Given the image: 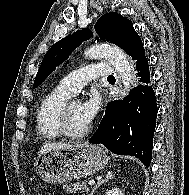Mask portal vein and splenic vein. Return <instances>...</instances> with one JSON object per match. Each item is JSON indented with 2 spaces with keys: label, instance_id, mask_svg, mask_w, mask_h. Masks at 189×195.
<instances>
[{
  "label": "portal vein and splenic vein",
  "instance_id": "1",
  "mask_svg": "<svg viewBox=\"0 0 189 195\" xmlns=\"http://www.w3.org/2000/svg\"><path fill=\"white\" fill-rule=\"evenodd\" d=\"M88 184L89 185H94L95 184V180H90Z\"/></svg>",
  "mask_w": 189,
  "mask_h": 195
}]
</instances>
